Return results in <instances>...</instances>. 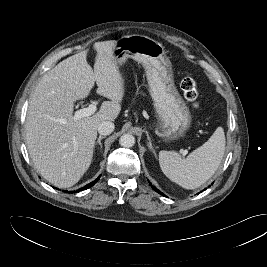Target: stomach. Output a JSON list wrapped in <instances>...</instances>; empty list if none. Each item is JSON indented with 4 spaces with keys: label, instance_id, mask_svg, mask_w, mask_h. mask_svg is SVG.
Here are the masks:
<instances>
[{
    "label": "stomach",
    "instance_id": "0dacf381",
    "mask_svg": "<svg viewBox=\"0 0 267 267\" xmlns=\"http://www.w3.org/2000/svg\"><path fill=\"white\" fill-rule=\"evenodd\" d=\"M112 56L118 66L127 58L143 66L164 136L169 140L183 137L191 126L192 117L175 86L172 65L162 44L143 35L124 36L116 41Z\"/></svg>",
    "mask_w": 267,
    "mask_h": 267
}]
</instances>
